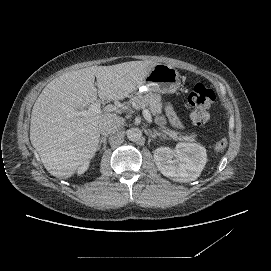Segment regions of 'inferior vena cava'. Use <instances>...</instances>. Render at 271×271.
Here are the masks:
<instances>
[{"label": "inferior vena cava", "mask_w": 271, "mask_h": 271, "mask_svg": "<svg viewBox=\"0 0 271 271\" xmlns=\"http://www.w3.org/2000/svg\"><path fill=\"white\" fill-rule=\"evenodd\" d=\"M121 126V121H109L99 125V132L102 135H108L118 130Z\"/></svg>", "instance_id": "inferior-vena-cava-1"}]
</instances>
